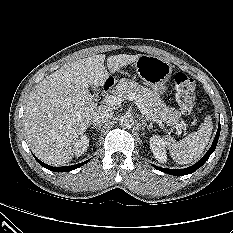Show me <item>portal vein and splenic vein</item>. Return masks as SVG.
<instances>
[{"label": "portal vein and splenic vein", "instance_id": "portal-vein-and-splenic-vein-1", "mask_svg": "<svg viewBox=\"0 0 233 233\" xmlns=\"http://www.w3.org/2000/svg\"><path fill=\"white\" fill-rule=\"evenodd\" d=\"M129 100H133V97H129ZM105 103L108 104L109 106H119L122 102L123 99L116 96V95H108L105 97ZM137 107L139 108L140 112L145 115L147 118H150V114L149 111L140 103V101H136L135 102ZM152 120L156 123H158L159 125H162V121L161 120H157L156 118H152ZM174 128L177 130L178 134H181L182 129L186 130V126L183 124H176L174 125Z\"/></svg>", "mask_w": 233, "mask_h": 233}]
</instances>
